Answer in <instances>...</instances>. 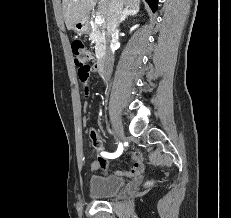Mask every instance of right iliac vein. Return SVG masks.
I'll list each match as a JSON object with an SVG mask.
<instances>
[{
	"label": "right iliac vein",
	"instance_id": "right-iliac-vein-1",
	"mask_svg": "<svg viewBox=\"0 0 231 218\" xmlns=\"http://www.w3.org/2000/svg\"><path fill=\"white\" fill-rule=\"evenodd\" d=\"M114 127H115V133H116V140L117 141L122 140L124 138V129H123L121 121L118 119H115Z\"/></svg>",
	"mask_w": 231,
	"mask_h": 218
}]
</instances>
